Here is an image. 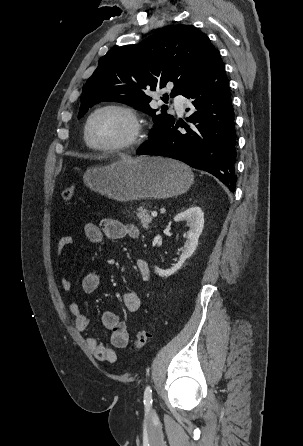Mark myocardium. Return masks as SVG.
Returning a JSON list of instances; mask_svg holds the SVG:
<instances>
[{
	"instance_id": "obj_1",
	"label": "myocardium",
	"mask_w": 303,
	"mask_h": 446,
	"mask_svg": "<svg viewBox=\"0 0 303 446\" xmlns=\"http://www.w3.org/2000/svg\"><path fill=\"white\" fill-rule=\"evenodd\" d=\"M108 110L117 111V112L125 115L131 123L132 131H131L130 136L125 141H123L119 144L112 145V146H96L91 142L90 137H89L90 124L97 114H99L103 111H108ZM143 136H144V121H143L141 115L139 114V112L136 109H134L130 106H127V105H122V104L110 103V104H105V105H102V106L96 108L88 116V118L85 122V126H84V140H85L87 146L90 149L99 151V152H120V151L130 149V148L136 146L137 144H139L141 142Z\"/></svg>"
}]
</instances>
